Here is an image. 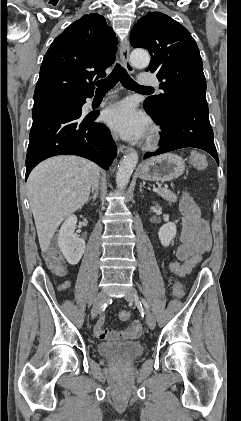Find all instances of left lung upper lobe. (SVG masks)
I'll return each instance as SVG.
<instances>
[{
    "mask_svg": "<svg viewBox=\"0 0 241 421\" xmlns=\"http://www.w3.org/2000/svg\"><path fill=\"white\" fill-rule=\"evenodd\" d=\"M130 43L149 51L151 62L146 71L157 73L164 91L145 100L149 112L166 121L170 111L189 97H205L206 80L199 49L180 23L166 14L149 12L134 25Z\"/></svg>",
    "mask_w": 241,
    "mask_h": 421,
    "instance_id": "obj_1",
    "label": "left lung upper lobe"
}]
</instances>
